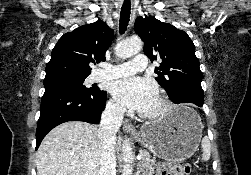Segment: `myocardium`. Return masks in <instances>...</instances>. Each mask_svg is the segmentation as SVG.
Masks as SVG:
<instances>
[{
	"label": "myocardium",
	"instance_id": "obj_1",
	"mask_svg": "<svg viewBox=\"0 0 251 175\" xmlns=\"http://www.w3.org/2000/svg\"><path fill=\"white\" fill-rule=\"evenodd\" d=\"M172 110L170 101L166 98H160L157 103V108L150 113V118H164L169 115Z\"/></svg>",
	"mask_w": 251,
	"mask_h": 175
}]
</instances>
